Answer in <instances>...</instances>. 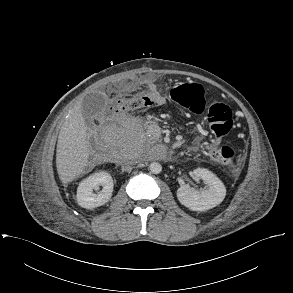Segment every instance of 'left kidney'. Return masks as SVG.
Masks as SVG:
<instances>
[{"label":"left kidney","instance_id":"5707ae66","mask_svg":"<svg viewBox=\"0 0 293 293\" xmlns=\"http://www.w3.org/2000/svg\"><path fill=\"white\" fill-rule=\"evenodd\" d=\"M193 176L202 179L206 188L202 191L181 186L177 190L179 202L192 211H206L219 205L225 198L226 188L222 181L211 171L197 168Z\"/></svg>","mask_w":293,"mask_h":293}]
</instances>
